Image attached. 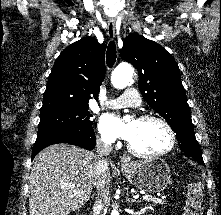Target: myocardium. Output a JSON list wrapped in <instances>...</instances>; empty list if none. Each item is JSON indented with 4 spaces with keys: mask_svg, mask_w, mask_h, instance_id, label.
I'll use <instances>...</instances> for the list:
<instances>
[{
    "mask_svg": "<svg viewBox=\"0 0 221 215\" xmlns=\"http://www.w3.org/2000/svg\"><path fill=\"white\" fill-rule=\"evenodd\" d=\"M137 121L140 122H145V121H157L159 122L166 130L167 134H168V145L165 149L158 151V152H154V153H143L140 152L138 150H136L130 143L129 141L127 142V149L130 153H132L133 155L140 157V158H157V157H161L164 156L166 154H168L169 152H171L176 144V135L175 132L173 130V128L171 127V125L161 116L158 115H153V114H145V115H141L137 118Z\"/></svg>",
    "mask_w": 221,
    "mask_h": 215,
    "instance_id": "myocardium-1",
    "label": "myocardium"
}]
</instances>
